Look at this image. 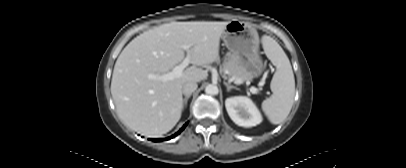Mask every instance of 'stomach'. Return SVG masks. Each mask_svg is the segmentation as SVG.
<instances>
[{
    "label": "stomach",
    "instance_id": "1",
    "mask_svg": "<svg viewBox=\"0 0 406 168\" xmlns=\"http://www.w3.org/2000/svg\"><path fill=\"white\" fill-rule=\"evenodd\" d=\"M222 38L225 46L245 69L250 78L258 77L263 71V62L259 55V35L257 30L246 22L230 21Z\"/></svg>",
    "mask_w": 406,
    "mask_h": 168
}]
</instances>
